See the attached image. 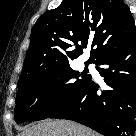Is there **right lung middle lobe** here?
I'll list each match as a JSON object with an SVG mask.
<instances>
[{
  "mask_svg": "<svg viewBox=\"0 0 136 136\" xmlns=\"http://www.w3.org/2000/svg\"><path fill=\"white\" fill-rule=\"evenodd\" d=\"M88 63L82 73L70 64L34 72L19 80L14 119L17 123L48 118L70 101L90 80Z\"/></svg>",
  "mask_w": 136,
  "mask_h": 136,
  "instance_id": "dd1d6c3e",
  "label": "right lung middle lobe"
}]
</instances>
